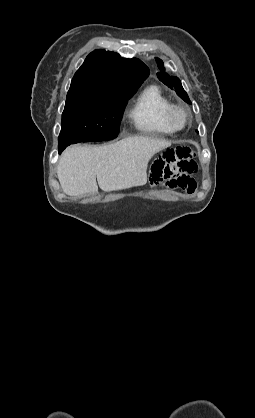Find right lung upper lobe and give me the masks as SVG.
Wrapping results in <instances>:
<instances>
[{
  "mask_svg": "<svg viewBox=\"0 0 255 418\" xmlns=\"http://www.w3.org/2000/svg\"><path fill=\"white\" fill-rule=\"evenodd\" d=\"M148 75V67L139 59L121 58L117 53L98 49L77 70L69 90H137Z\"/></svg>",
  "mask_w": 255,
  "mask_h": 418,
  "instance_id": "cb5924a9",
  "label": "right lung upper lobe"
}]
</instances>
